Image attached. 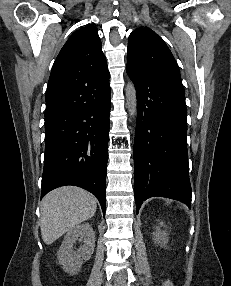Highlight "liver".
<instances>
[{"instance_id": "liver-1", "label": "liver", "mask_w": 231, "mask_h": 286, "mask_svg": "<svg viewBox=\"0 0 231 286\" xmlns=\"http://www.w3.org/2000/svg\"><path fill=\"white\" fill-rule=\"evenodd\" d=\"M40 208L41 235L44 243L49 245L93 217L97 200L84 189L65 186L49 192L42 199Z\"/></svg>"}]
</instances>
